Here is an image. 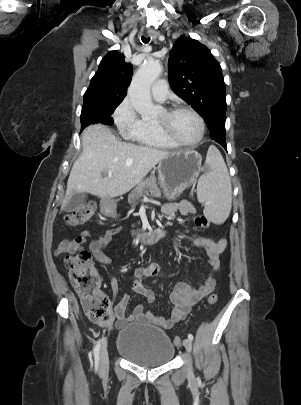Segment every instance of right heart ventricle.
Wrapping results in <instances>:
<instances>
[{"label": "right heart ventricle", "mask_w": 301, "mask_h": 405, "mask_svg": "<svg viewBox=\"0 0 301 405\" xmlns=\"http://www.w3.org/2000/svg\"><path fill=\"white\" fill-rule=\"evenodd\" d=\"M129 138L140 145L153 148L173 149L177 147L162 137L157 131L155 124L147 120H141L140 125L129 135Z\"/></svg>", "instance_id": "e07e8e85"}]
</instances>
